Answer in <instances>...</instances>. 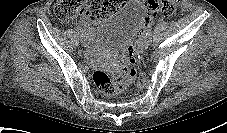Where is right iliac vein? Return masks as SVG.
I'll return each mask as SVG.
<instances>
[{
    "label": "right iliac vein",
    "instance_id": "right-iliac-vein-1",
    "mask_svg": "<svg viewBox=\"0 0 227 133\" xmlns=\"http://www.w3.org/2000/svg\"><path fill=\"white\" fill-rule=\"evenodd\" d=\"M81 44L84 46V47H87L88 46V40L86 38V36H82L81 37Z\"/></svg>",
    "mask_w": 227,
    "mask_h": 133
}]
</instances>
